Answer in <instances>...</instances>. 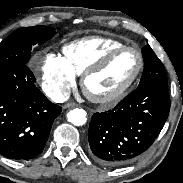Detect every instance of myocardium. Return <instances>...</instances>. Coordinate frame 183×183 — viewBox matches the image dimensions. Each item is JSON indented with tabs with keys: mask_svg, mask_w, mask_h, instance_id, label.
I'll list each match as a JSON object with an SVG mask.
<instances>
[{
	"mask_svg": "<svg viewBox=\"0 0 183 183\" xmlns=\"http://www.w3.org/2000/svg\"><path fill=\"white\" fill-rule=\"evenodd\" d=\"M124 51L135 52L139 59L138 68H137L135 74L133 75V77L129 80V82L124 87H122L120 90H118L117 92H115L111 95H108V96H97V95L90 93L86 88L88 79L91 76L103 71L117 54L124 52ZM144 64H145L144 56L138 48L132 47V46H127V45H122L119 47L112 48L111 50L106 52L97 62H95L90 67H88L83 72V74L81 75V80H80L81 90H82L83 94L90 101H92L94 103H98V104L116 103V102L120 101L121 99H123L128 94V92L132 89V87L135 85V83L138 81V79L143 71Z\"/></svg>",
	"mask_w": 183,
	"mask_h": 183,
	"instance_id": "myocardium-1",
	"label": "myocardium"
}]
</instances>
